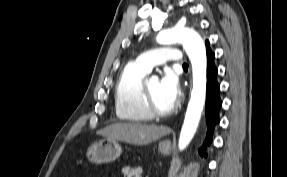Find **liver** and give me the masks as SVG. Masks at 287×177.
Instances as JSON below:
<instances>
[{
	"label": "liver",
	"mask_w": 287,
	"mask_h": 177,
	"mask_svg": "<svg viewBox=\"0 0 287 177\" xmlns=\"http://www.w3.org/2000/svg\"><path fill=\"white\" fill-rule=\"evenodd\" d=\"M169 132L170 129L165 126L140 123H114L99 130L97 135L134 145H146L158 140Z\"/></svg>",
	"instance_id": "1"
}]
</instances>
